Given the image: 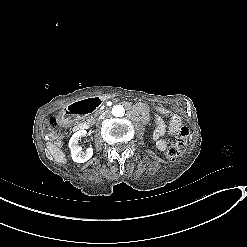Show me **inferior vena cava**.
I'll return each mask as SVG.
<instances>
[{
    "mask_svg": "<svg viewBox=\"0 0 247 247\" xmlns=\"http://www.w3.org/2000/svg\"><path fill=\"white\" fill-rule=\"evenodd\" d=\"M103 117V115H101L100 117H99V119H101Z\"/></svg>",
    "mask_w": 247,
    "mask_h": 247,
    "instance_id": "obj_1",
    "label": "inferior vena cava"
}]
</instances>
